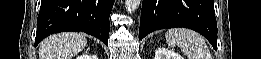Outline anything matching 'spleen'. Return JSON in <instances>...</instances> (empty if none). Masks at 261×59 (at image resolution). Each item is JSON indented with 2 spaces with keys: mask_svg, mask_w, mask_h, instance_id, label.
<instances>
[{
  "mask_svg": "<svg viewBox=\"0 0 261 59\" xmlns=\"http://www.w3.org/2000/svg\"><path fill=\"white\" fill-rule=\"evenodd\" d=\"M165 37L169 46L177 45L188 59H211L203 37L197 32L185 28H173L166 32Z\"/></svg>",
  "mask_w": 261,
  "mask_h": 59,
  "instance_id": "obj_1",
  "label": "spleen"
}]
</instances>
